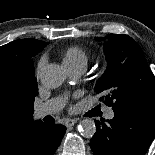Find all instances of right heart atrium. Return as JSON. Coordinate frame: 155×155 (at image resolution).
Segmentation results:
<instances>
[{
	"instance_id": "obj_1",
	"label": "right heart atrium",
	"mask_w": 155,
	"mask_h": 155,
	"mask_svg": "<svg viewBox=\"0 0 155 155\" xmlns=\"http://www.w3.org/2000/svg\"><path fill=\"white\" fill-rule=\"evenodd\" d=\"M46 62H47L46 57L45 56L41 57V59L38 62V65H37V70H36L37 77H40V75L46 65Z\"/></svg>"
}]
</instances>
